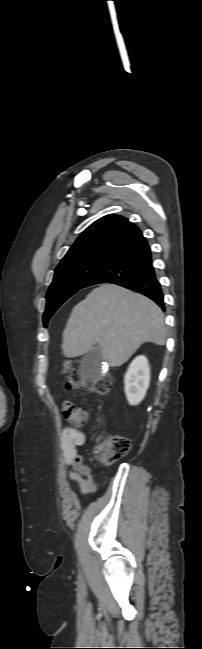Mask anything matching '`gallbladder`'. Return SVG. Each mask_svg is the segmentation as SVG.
Returning <instances> with one entry per match:
<instances>
[{"mask_svg": "<svg viewBox=\"0 0 202 649\" xmlns=\"http://www.w3.org/2000/svg\"><path fill=\"white\" fill-rule=\"evenodd\" d=\"M80 370L89 379L99 378L103 371V357L98 345H94L80 361Z\"/></svg>", "mask_w": 202, "mask_h": 649, "instance_id": "obj_1", "label": "gallbladder"}]
</instances>
